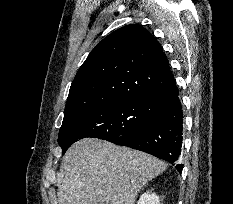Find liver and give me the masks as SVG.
Masks as SVG:
<instances>
[{
    "mask_svg": "<svg viewBox=\"0 0 233 204\" xmlns=\"http://www.w3.org/2000/svg\"><path fill=\"white\" fill-rule=\"evenodd\" d=\"M166 168L147 153L84 138L65 154L58 204H134L141 188Z\"/></svg>",
    "mask_w": 233,
    "mask_h": 204,
    "instance_id": "liver-1",
    "label": "liver"
}]
</instances>
